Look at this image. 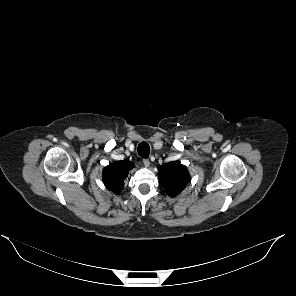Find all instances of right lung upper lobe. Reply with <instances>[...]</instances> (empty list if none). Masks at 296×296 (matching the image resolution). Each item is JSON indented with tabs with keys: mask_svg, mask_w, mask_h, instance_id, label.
Instances as JSON below:
<instances>
[{
	"mask_svg": "<svg viewBox=\"0 0 296 296\" xmlns=\"http://www.w3.org/2000/svg\"><path fill=\"white\" fill-rule=\"evenodd\" d=\"M134 167L129 160L116 161L106 166L103 170V182L107 189L118 194L124 186V179L128 171Z\"/></svg>",
	"mask_w": 296,
	"mask_h": 296,
	"instance_id": "right-lung-upper-lobe-1",
	"label": "right lung upper lobe"
}]
</instances>
